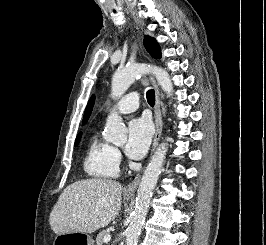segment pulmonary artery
<instances>
[{"label": "pulmonary artery", "mask_w": 266, "mask_h": 245, "mask_svg": "<svg viewBox=\"0 0 266 245\" xmlns=\"http://www.w3.org/2000/svg\"><path fill=\"white\" fill-rule=\"evenodd\" d=\"M135 95H138V92L124 96V100L116 101V105L113 109L120 113L134 112L140 105L139 96Z\"/></svg>", "instance_id": "1"}]
</instances>
